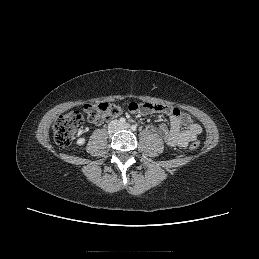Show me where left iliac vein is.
Here are the masks:
<instances>
[{
  "instance_id": "obj_1",
  "label": "left iliac vein",
  "mask_w": 259,
  "mask_h": 259,
  "mask_svg": "<svg viewBox=\"0 0 259 259\" xmlns=\"http://www.w3.org/2000/svg\"><path fill=\"white\" fill-rule=\"evenodd\" d=\"M121 129H129L130 125L128 123H124L120 126Z\"/></svg>"
}]
</instances>
